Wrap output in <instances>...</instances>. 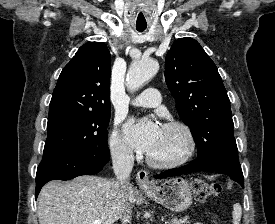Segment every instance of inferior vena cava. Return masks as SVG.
Wrapping results in <instances>:
<instances>
[{
    "mask_svg": "<svg viewBox=\"0 0 275 224\" xmlns=\"http://www.w3.org/2000/svg\"><path fill=\"white\" fill-rule=\"evenodd\" d=\"M113 170L116 175L117 200L121 210V222L126 224L131 219L127 201V190L130 187L129 176L134 165V155L126 147H117L111 151Z\"/></svg>",
    "mask_w": 275,
    "mask_h": 224,
    "instance_id": "1",
    "label": "inferior vena cava"
}]
</instances>
